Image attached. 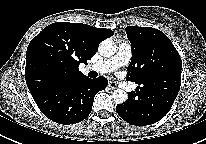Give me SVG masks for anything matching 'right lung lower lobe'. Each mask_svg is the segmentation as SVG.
<instances>
[{
  "instance_id": "right-lung-lower-lobe-1",
  "label": "right lung lower lobe",
  "mask_w": 206,
  "mask_h": 144,
  "mask_svg": "<svg viewBox=\"0 0 206 144\" xmlns=\"http://www.w3.org/2000/svg\"><path fill=\"white\" fill-rule=\"evenodd\" d=\"M108 85L105 77L46 88L32 96L42 113L54 122L74 124L91 112L95 94Z\"/></svg>"
}]
</instances>
